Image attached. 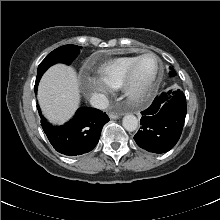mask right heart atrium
<instances>
[{
    "mask_svg": "<svg viewBox=\"0 0 220 220\" xmlns=\"http://www.w3.org/2000/svg\"><path fill=\"white\" fill-rule=\"evenodd\" d=\"M84 90L96 104L103 105L113 93V88L99 77H88L84 81Z\"/></svg>",
    "mask_w": 220,
    "mask_h": 220,
    "instance_id": "right-heart-atrium-1",
    "label": "right heart atrium"
}]
</instances>
